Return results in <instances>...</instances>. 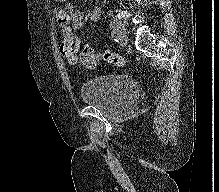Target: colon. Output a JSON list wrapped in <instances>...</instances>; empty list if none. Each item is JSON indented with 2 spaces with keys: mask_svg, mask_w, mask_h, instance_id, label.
Here are the masks:
<instances>
[{
  "mask_svg": "<svg viewBox=\"0 0 219 192\" xmlns=\"http://www.w3.org/2000/svg\"><path fill=\"white\" fill-rule=\"evenodd\" d=\"M60 52L72 63L80 64L88 68L94 67L97 59L120 68L127 66V62L122 56L109 50L98 53L95 48L91 46L80 50L77 37L73 34H69L63 39L60 45Z\"/></svg>",
  "mask_w": 219,
  "mask_h": 192,
  "instance_id": "1",
  "label": "colon"
}]
</instances>
